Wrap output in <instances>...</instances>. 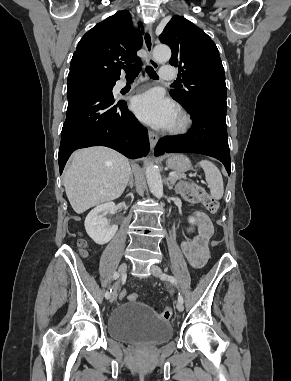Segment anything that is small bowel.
Instances as JSON below:
<instances>
[{"mask_svg": "<svg viewBox=\"0 0 291 381\" xmlns=\"http://www.w3.org/2000/svg\"><path fill=\"white\" fill-rule=\"evenodd\" d=\"M197 235L192 240L182 241L181 249L194 268L203 265L207 257L208 241L213 234V227L208 216L199 211L193 212Z\"/></svg>", "mask_w": 291, "mask_h": 381, "instance_id": "obj_1", "label": "small bowel"}]
</instances>
